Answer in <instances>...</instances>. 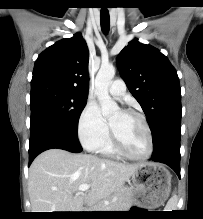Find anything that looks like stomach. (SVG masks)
Returning a JSON list of instances; mask_svg holds the SVG:
<instances>
[{
    "instance_id": "0dacf381",
    "label": "stomach",
    "mask_w": 203,
    "mask_h": 219,
    "mask_svg": "<svg viewBox=\"0 0 203 219\" xmlns=\"http://www.w3.org/2000/svg\"><path fill=\"white\" fill-rule=\"evenodd\" d=\"M133 194L131 203H140L149 208L162 205L171 190V174L161 164H140L132 175Z\"/></svg>"
}]
</instances>
